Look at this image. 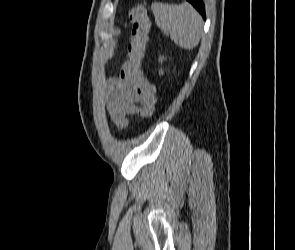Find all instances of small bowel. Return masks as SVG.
Returning <instances> with one entry per match:
<instances>
[{
  "instance_id": "c3829d8e",
  "label": "small bowel",
  "mask_w": 295,
  "mask_h": 250,
  "mask_svg": "<svg viewBox=\"0 0 295 250\" xmlns=\"http://www.w3.org/2000/svg\"><path fill=\"white\" fill-rule=\"evenodd\" d=\"M107 112L118 129L126 128L129 116L142 115L138 107L140 97L135 87L121 76L110 79L105 96Z\"/></svg>"
}]
</instances>
